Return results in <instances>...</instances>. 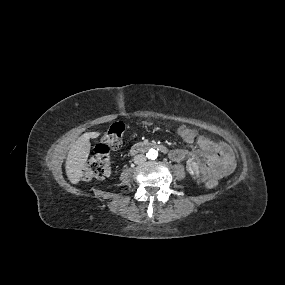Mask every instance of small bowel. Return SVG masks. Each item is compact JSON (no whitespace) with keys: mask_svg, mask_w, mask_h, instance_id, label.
I'll return each mask as SVG.
<instances>
[{"mask_svg":"<svg viewBox=\"0 0 285 285\" xmlns=\"http://www.w3.org/2000/svg\"><path fill=\"white\" fill-rule=\"evenodd\" d=\"M196 144L197 151L175 149L171 152V158L175 161H182L186 158L195 161L202 178H222L233 171L234 157L226 143L200 136ZM200 160H204V163Z\"/></svg>","mask_w":285,"mask_h":285,"instance_id":"obj_1","label":"small bowel"}]
</instances>
